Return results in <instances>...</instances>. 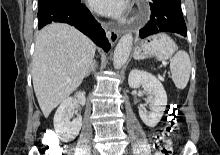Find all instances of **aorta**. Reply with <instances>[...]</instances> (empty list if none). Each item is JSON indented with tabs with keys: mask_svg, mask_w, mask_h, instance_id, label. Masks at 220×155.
Returning a JSON list of instances; mask_svg holds the SVG:
<instances>
[{
	"mask_svg": "<svg viewBox=\"0 0 220 155\" xmlns=\"http://www.w3.org/2000/svg\"><path fill=\"white\" fill-rule=\"evenodd\" d=\"M133 45V36L128 33L122 36L114 50L113 66L120 69L127 62Z\"/></svg>",
	"mask_w": 220,
	"mask_h": 155,
	"instance_id": "1",
	"label": "aorta"
}]
</instances>
